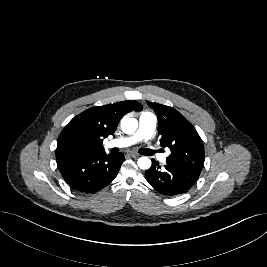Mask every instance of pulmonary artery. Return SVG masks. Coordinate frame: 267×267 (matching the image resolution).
I'll return each instance as SVG.
<instances>
[{
	"label": "pulmonary artery",
	"mask_w": 267,
	"mask_h": 267,
	"mask_svg": "<svg viewBox=\"0 0 267 267\" xmlns=\"http://www.w3.org/2000/svg\"><path fill=\"white\" fill-rule=\"evenodd\" d=\"M157 126V118L153 113L145 112L139 117V127L137 131L129 136L111 140L106 143V148H124L134 145L138 142H148L152 137ZM160 160L166 161V156L161 155Z\"/></svg>",
	"instance_id": "pulmonary-artery-1"
}]
</instances>
